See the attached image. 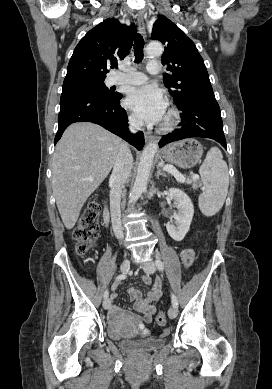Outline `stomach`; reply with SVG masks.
<instances>
[{
    "label": "stomach",
    "instance_id": "stomach-1",
    "mask_svg": "<svg viewBox=\"0 0 272 389\" xmlns=\"http://www.w3.org/2000/svg\"><path fill=\"white\" fill-rule=\"evenodd\" d=\"M203 146L194 139H183L169 144L162 150L165 161L187 169L194 167L201 159Z\"/></svg>",
    "mask_w": 272,
    "mask_h": 389
}]
</instances>
